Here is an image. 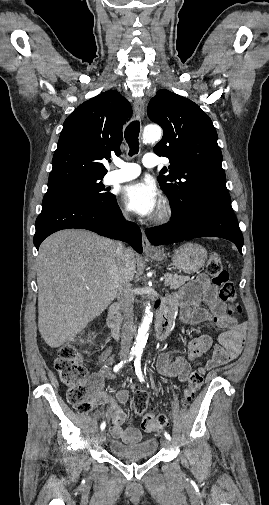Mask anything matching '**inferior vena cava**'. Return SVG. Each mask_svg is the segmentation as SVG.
Listing matches in <instances>:
<instances>
[{
    "label": "inferior vena cava",
    "mask_w": 269,
    "mask_h": 505,
    "mask_svg": "<svg viewBox=\"0 0 269 505\" xmlns=\"http://www.w3.org/2000/svg\"><path fill=\"white\" fill-rule=\"evenodd\" d=\"M116 255L118 262L123 264L126 256V248L121 242L117 244ZM118 287L121 295V306L124 316L121 333V350L128 352L131 348L134 334V295L129 281L120 279Z\"/></svg>",
    "instance_id": "602c4592"
}]
</instances>
